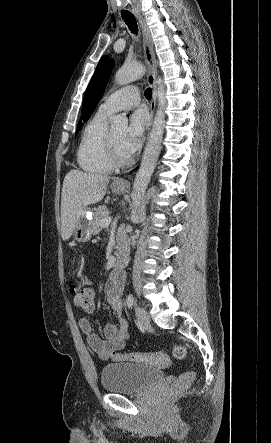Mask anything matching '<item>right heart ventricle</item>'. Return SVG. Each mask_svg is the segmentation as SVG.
Here are the masks:
<instances>
[{"instance_id": "1", "label": "right heart ventricle", "mask_w": 271, "mask_h": 443, "mask_svg": "<svg viewBox=\"0 0 271 443\" xmlns=\"http://www.w3.org/2000/svg\"><path fill=\"white\" fill-rule=\"evenodd\" d=\"M107 114L97 111L86 123L77 150V163L92 174L110 173L115 164L109 149Z\"/></svg>"}]
</instances>
